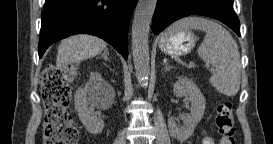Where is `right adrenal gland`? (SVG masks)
<instances>
[{"label":"right adrenal gland","instance_id":"1","mask_svg":"<svg viewBox=\"0 0 273 144\" xmlns=\"http://www.w3.org/2000/svg\"><path fill=\"white\" fill-rule=\"evenodd\" d=\"M108 55H109V52H108V49H106L101 56H99V58H104L106 61H109V58H108Z\"/></svg>","mask_w":273,"mask_h":144}]
</instances>
